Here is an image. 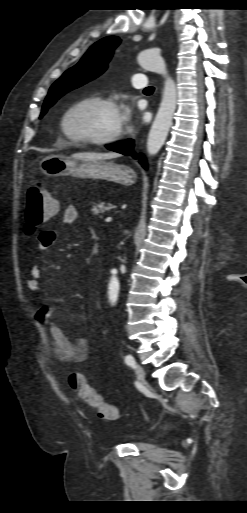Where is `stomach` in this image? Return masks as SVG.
Segmentation results:
<instances>
[{"instance_id":"0dacf381","label":"stomach","mask_w":247,"mask_h":513,"mask_svg":"<svg viewBox=\"0 0 247 513\" xmlns=\"http://www.w3.org/2000/svg\"><path fill=\"white\" fill-rule=\"evenodd\" d=\"M40 169L46 176H74L79 178L102 179L125 186L135 183L137 175L127 165L104 160L71 159L59 155L43 158Z\"/></svg>"}]
</instances>
